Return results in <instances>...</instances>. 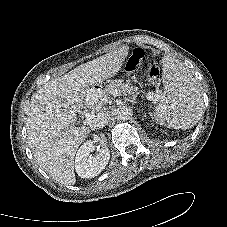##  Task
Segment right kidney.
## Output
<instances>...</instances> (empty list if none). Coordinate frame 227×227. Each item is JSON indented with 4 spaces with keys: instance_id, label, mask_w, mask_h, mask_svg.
I'll list each match as a JSON object with an SVG mask.
<instances>
[{
    "instance_id": "ca27d5eb",
    "label": "right kidney",
    "mask_w": 227,
    "mask_h": 227,
    "mask_svg": "<svg viewBox=\"0 0 227 227\" xmlns=\"http://www.w3.org/2000/svg\"><path fill=\"white\" fill-rule=\"evenodd\" d=\"M94 150L92 141L85 142L78 150L75 157V169L81 178H93L105 169L110 159L107 147L100 148L96 156H91Z\"/></svg>"
}]
</instances>
